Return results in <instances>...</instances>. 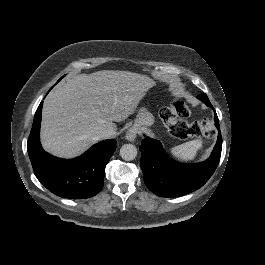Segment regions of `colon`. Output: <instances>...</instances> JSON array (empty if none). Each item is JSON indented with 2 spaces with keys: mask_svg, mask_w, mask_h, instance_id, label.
<instances>
[{
  "mask_svg": "<svg viewBox=\"0 0 265 265\" xmlns=\"http://www.w3.org/2000/svg\"><path fill=\"white\" fill-rule=\"evenodd\" d=\"M189 114L188 106L182 101H176L171 106L164 108L160 116L170 133L175 137L185 139L201 135H213V130L208 127L206 120L188 123L186 118Z\"/></svg>",
  "mask_w": 265,
  "mask_h": 265,
  "instance_id": "obj_1",
  "label": "colon"
}]
</instances>
